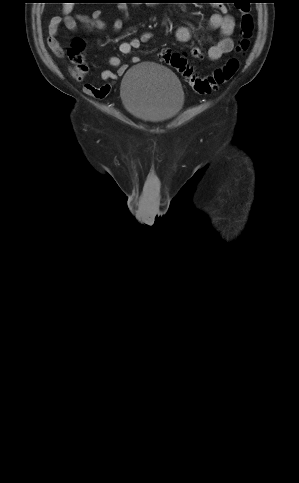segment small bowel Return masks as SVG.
I'll return each mask as SVG.
<instances>
[{"mask_svg": "<svg viewBox=\"0 0 299 483\" xmlns=\"http://www.w3.org/2000/svg\"><path fill=\"white\" fill-rule=\"evenodd\" d=\"M125 16L129 15L128 8L126 6L120 7ZM64 24L69 30L75 31L80 27L95 29L102 31L106 28V22L103 20V12L101 10H95L91 15H75L66 17H54L50 20L48 27L47 44L52 52L58 56L63 57L64 51L58 41V32L60 26ZM209 25L213 29H218L220 33L219 40L211 45L208 49V58L211 61H217L222 56L232 52L234 42L232 34L235 29V22L232 16L227 14V8L224 5L218 7V11L211 14L209 18ZM123 28V22L120 19H116L112 23V29L115 32L121 31ZM154 37L153 32L145 31L139 37L132 38L128 41H122L119 44V52L121 54H130L132 50L140 47L141 44L150 42ZM175 37L181 43H187L192 38V30L186 26H179L175 30ZM191 56L196 59H202L204 54L199 47H193L190 51ZM140 61L138 57H132L130 62L137 64ZM112 67H117V73H113L110 70H105L101 74V78L104 81H114L118 77L122 76L128 69L127 64H122L119 57H111L108 61ZM85 92L98 99L105 98L110 90L111 84L105 83L101 86H95L91 83L85 84Z\"/></svg>", "mask_w": 299, "mask_h": 483, "instance_id": "small-bowel-1", "label": "small bowel"}]
</instances>
